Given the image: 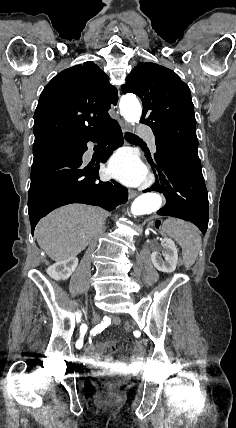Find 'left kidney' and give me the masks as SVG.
I'll use <instances>...</instances> for the list:
<instances>
[{
    "mask_svg": "<svg viewBox=\"0 0 236 428\" xmlns=\"http://www.w3.org/2000/svg\"><path fill=\"white\" fill-rule=\"evenodd\" d=\"M162 246L164 248L162 254L165 260H162L161 256H159V252H152L151 260L159 272H167V274H170V272L176 270L178 260L177 248L174 242L169 240V238H164V240H162Z\"/></svg>",
    "mask_w": 236,
    "mask_h": 428,
    "instance_id": "5707ae66",
    "label": "left kidney"
}]
</instances>
